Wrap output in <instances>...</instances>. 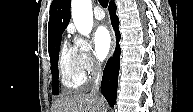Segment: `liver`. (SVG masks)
<instances>
[{"label": "liver", "mask_w": 193, "mask_h": 112, "mask_svg": "<svg viewBox=\"0 0 193 112\" xmlns=\"http://www.w3.org/2000/svg\"><path fill=\"white\" fill-rule=\"evenodd\" d=\"M52 112H106V102L99 95L79 94L57 99Z\"/></svg>", "instance_id": "obj_1"}]
</instances>
